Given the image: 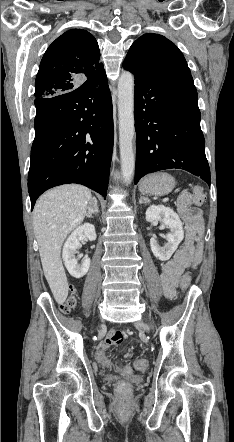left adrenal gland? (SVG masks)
Returning <instances> with one entry per match:
<instances>
[{"label": "left adrenal gland", "mask_w": 234, "mask_h": 442, "mask_svg": "<svg viewBox=\"0 0 234 442\" xmlns=\"http://www.w3.org/2000/svg\"><path fill=\"white\" fill-rule=\"evenodd\" d=\"M150 202V199L149 198H147V197H144V196H141L140 197V200H139V204H142V203H149Z\"/></svg>", "instance_id": "a2214340"}]
</instances>
